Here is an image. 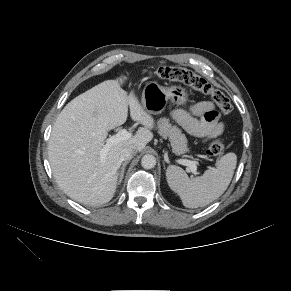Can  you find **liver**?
<instances>
[{"label":"liver","mask_w":291,"mask_h":291,"mask_svg":"<svg viewBox=\"0 0 291 291\" xmlns=\"http://www.w3.org/2000/svg\"><path fill=\"white\" fill-rule=\"evenodd\" d=\"M121 81L107 80L80 94L64 107L53 126L48 156L54 178L79 203L109 202L117 187L121 151L134 146L140 152L153 138V118L133 92L127 97ZM128 106L131 118L144 127L102 156L108 131L126 122Z\"/></svg>","instance_id":"1"}]
</instances>
